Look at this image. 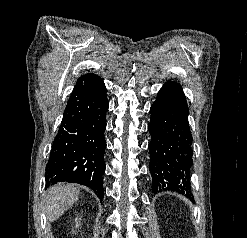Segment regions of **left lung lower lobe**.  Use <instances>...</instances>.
<instances>
[{"label": "left lung lower lobe", "mask_w": 247, "mask_h": 238, "mask_svg": "<svg viewBox=\"0 0 247 238\" xmlns=\"http://www.w3.org/2000/svg\"><path fill=\"white\" fill-rule=\"evenodd\" d=\"M148 131L152 190H176L191 197L190 169L193 141L188 105L181 86L169 81L150 108Z\"/></svg>", "instance_id": "1"}]
</instances>
